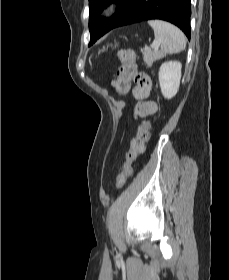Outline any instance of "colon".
Wrapping results in <instances>:
<instances>
[{
    "label": "colon",
    "mask_w": 229,
    "mask_h": 280,
    "mask_svg": "<svg viewBox=\"0 0 229 280\" xmlns=\"http://www.w3.org/2000/svg\"><path fill=\"white\" fill-rule=\"evenodd\" d=\"M118 58L122 66L118 71V84L116 86L117 91H126L129 82L134 81L148 92L151 88V79L146 73L137 69V58L135 50H120L118 52ZM150 128V120H144L139 126L135 137L131 140L130 150L126 157V163L122 169V172L119 174L115 181V185L117 188H121L125 184L127 178L131 174L132 163L135 161L136 157L144 151L145 144L149 139Z\"/></svg>",
    "instance_id": "1"
}]
</instances>
